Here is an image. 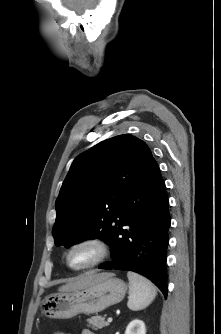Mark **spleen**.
Segmentation results:
<instances>
[{
    "label": "spleen",
    "mask_w": 221,
    "mask_h": 334,
    "mask_svg": "<svg viewBox=\"0 0 221 334\" xmlns=\"http://www.w3.org/2000/svg\"><path fill=\"white\" fill-rule=\"evenodd\" d=\"M129 297L127 306L133 311L146 308L156 297L157 291L154 285L145 277L128 272Z\"/></svg>",
    "instance_id": "obj_1"
}]
</instances>
